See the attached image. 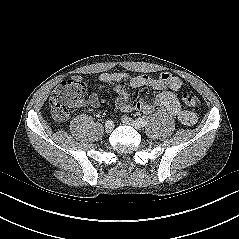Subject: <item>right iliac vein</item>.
<instances>
[{
	"label": "right iliac vein",
	"instance_id": "63e3f726",
	"mask_svg": "<svg viewBox=\"0 0 239 239\" xmlns=\"http://www.w3.org/2000/svg\"><path fill=\"white\" fill-rule=\"evenodd\" d=\"M113 128H114V125H107V122H106V124H105V131L107 133L111 132L113 130Z\"/></svg>",
	"mask_w": 239,
	"mask_h": 239
}]
</instances>
